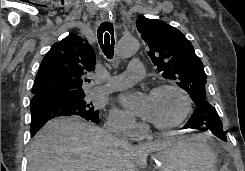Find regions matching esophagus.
<instances>
[{
    "instance_id": "esophagus-1",
    "label": "esophagus",
    "mask_w": 245,
    "mask_h": 171,
    "mask_svg": "<svg viewBox=\"0 0 245 171\" xmlns=\"http://www.w3.org/2000/svg\"><path fill=\"white\" fill-rule=\"evenodd\" d=\"M112 17L110 16V14L107 12V10H102L101 12V19L103 21H108L109 19H111Z\"/></svg>"
}]
</instances>
